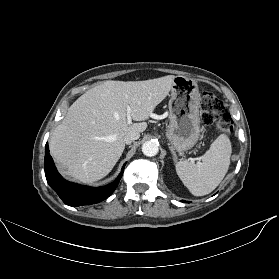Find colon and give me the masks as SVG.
<instances>
[{
    "label": "colon",
    "instance_id": "obj_1",
    "mask_svg": "<svg viewBox=\"0 0 279 279\" xmlns=\"http://www.w3.org/2000/svg\"><path fill=\"white\" fill-rule=\"evenodd\" d=\"M201 118L206 125H214L220 132L230 133L233 120L223 103L209 90L201 93Z\"/></svg>",
    "mask_w": 279,
    "mask_h": 279
}]
</instances>
